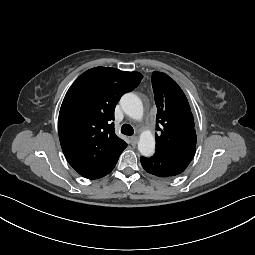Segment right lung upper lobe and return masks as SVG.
Here are the masks:
<instances>
[{
	"label": "right lung upper lobe",
	"instance_id": "cb5924a9",
	"mask_svg": "<svg viewBox=\"0 0 255 255\" xmlns=\"http://www.w3.org/2000/svg\"><path fill=\"white\" fill-rule=\"evenodd\" d=\"M142 77L135 71L96 67L69 88L59 112L58 133L65 158L81 176L101 178L116 165L127 144L115 134L114 109Z\"/></svg>",
	"mask_w": 255,
	"mask_h": 255
}]
</instances>
